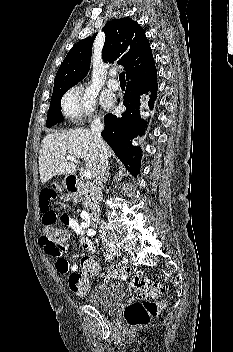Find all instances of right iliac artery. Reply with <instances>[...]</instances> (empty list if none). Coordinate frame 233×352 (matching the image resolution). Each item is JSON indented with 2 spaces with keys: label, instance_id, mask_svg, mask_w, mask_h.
Here are the masks:
<instances>
[{
  "label": "right iliac artery",
  "instance_id": "obj_1",
  "mask_svg": "<svg viewBox=\"0 0 233 352\" xmlns=\"http://www.w3.org/2000/svg\"><path fill=\"white\" fill-rule=\"evenodd\" d=\"M105 259H106L107 261H111V260L113 259L112 254L107 253V254L105 255Z\"/></svg>",
  "mask_w": 233,
  "mask_h": 352
}]
</instances>
